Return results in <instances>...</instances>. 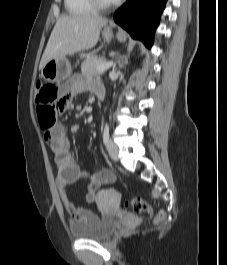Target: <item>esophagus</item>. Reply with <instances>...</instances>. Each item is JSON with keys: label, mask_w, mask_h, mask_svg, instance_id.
Wrapping results in <instances>:
<instances>
[{"label": "esophagus", "mask_w": 227, "mask_h": 265, "mask_svg": "<svg viewBox=\"0 0 227 265\" xmlns=\"http://www.w3.org/2000/svg\"><path fill=\"white\" fill-rule=\"evenodd\" d=\"M113 26H114V25L111 23V24H110V27L112 28Z\"/></svg>", "instance_id": "obj_1"}]
</instances>
